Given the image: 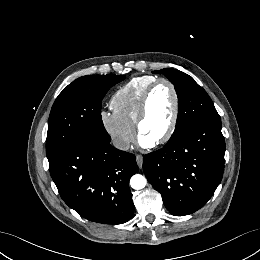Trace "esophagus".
I'll list each match as a JSON object with an SVG mask.
<instances>
[{
	"instance_id": "esophagus-1",
	"label": "esophagus",
	"mask_w": 260,
	"mask_h": 260,
	"mask_svg": "<svg viewBox=\"0 0 260 260\" xmlns=\"http://www.w3.org/2000/svg\"><path fill=\"white\" fill-rule=\"evenodd\" d=\"M136 162H137L139 168H141L143 165V157L141 155H136Z\"/></svg>"
}]
</instances>
